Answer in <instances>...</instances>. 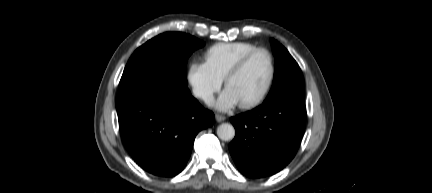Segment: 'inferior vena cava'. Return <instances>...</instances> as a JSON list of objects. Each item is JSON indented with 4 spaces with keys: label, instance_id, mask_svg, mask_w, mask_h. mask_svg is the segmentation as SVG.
Instances as JSON below:
<instances>
[{
    "label": "inferior vena cava",
    "instance_id": "1",
    "mask_svg": "<svg viewBox=\"0 0 432 193\" xmlns=\"http://www.w3.org/2000/svg\"><path fill=\"white\" fill-rule=\"evenodd\" d=\"M194 94L197 96V97H200V98H202L203 100H205L206 102H213L214 101V97H213V94L212 93H210V92H208V91H206V90H196L195 92H194Z\"/></svg>",
    "mask_w": 432,
    "mask_h": 193
}]
</instances>
